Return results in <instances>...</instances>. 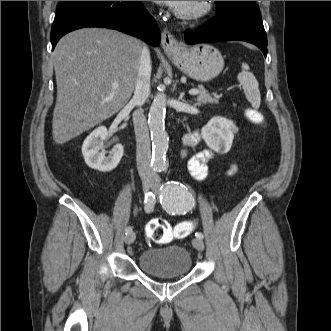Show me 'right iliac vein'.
<instances>
[{
    "label": "right iliac vein",
    "instance_id": "1",
    "mask_svg": "<svg viewBox=\"0 0 331 331\" xmlns=\"http://www.w3.org/2000/svg\"><path fill=\"white\" fill-rule=\"evenodd\" d=\"M151 186H152V181L151 180H149V179H144L143 180V190H144V192H147L150 189ZM124 240H125L126 244H128V245L132 244L135 240V233L130 232L129 234H127L125 236Z\"/></svg>",
    "mask_w": 331,
    "mask_h": 331
}]
</instances>
